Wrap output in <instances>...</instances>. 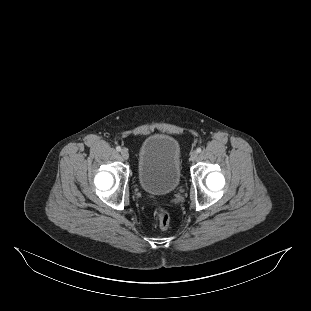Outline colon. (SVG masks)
I'll return each instance as SVG.
<instances>
[{"mask_svg":"<svg viewBox=\"0 0 311 311\" xmlns=\"http://www.w3.org/2000/svg\"><path fill=\"white\" fill-rule=\"evenodd\" d=\"M154 218L161 229H166L169 225L170 215L164 208H155L153 211Z\"/></svg>","mask_w":311,"mask_h":311,"instance_id":"colon-1","label":"colon"}]
</instances>
